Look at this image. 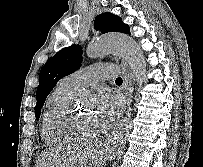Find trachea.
Instances as JSON below:
<instances>
[{
    "instance_id": "obj_1",
    "label": "trachea",
    "mask_w": 203,
    "mask_h": 167,
    "mask_svg": "<svg viewBox=\"0 0 203 167\" xmlns=\"http://www.w3.org/2000/svg\"><path fill=\"white\" fill-rule=\"evenodd\" d=\"M115 82H122V78L121 77L116 78Z\"/></svg>"
}]
</instances>
